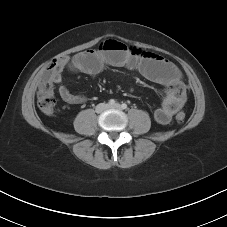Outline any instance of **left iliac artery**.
Here are the masks:
<instances>
[{
  "instance_id": "44dca946",
  "label": "left iliac artery",
  "mask_w": 227,
  "mask_h": 227,
  "mask_svg": "<svg viewBox=\"0 0 227 227\" xmlns=\"http://www.w3.org/2000/svg\"><path fill=\"white\" fill-rule=\"evenodd\" d=\"M121 108H122V109H127V104L123 103V104L121 105Z\"/></svg>"
}]
</instances>
